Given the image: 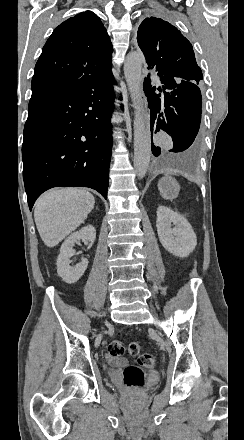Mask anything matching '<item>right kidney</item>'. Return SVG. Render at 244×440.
I'll use <instances>...</instances> for the list:
<instances>
[{"mask_svg": "<svg viewBox=\"0 0 244 440\" xmlns=\"http://www.w3.org/2000/svg\"><path fill=\"white\" fill-rule=\"evenodd\" d=\"M95 238V228H93V226H86V228H82V230H79V232H74V234H71V236H69V238L63 242L56 264L58 276L62 278L63 282H66V284H75V282H78L81 276H83L88 266V260H86V258H82L80 264L70 266V258L75 254V250H73L75 242H78V240H89V242H95Z\"/></svg>", "mask_w": 244, "mask_h": 440, "instance_id": "1", "label": "right kidney"}]
</instances>
